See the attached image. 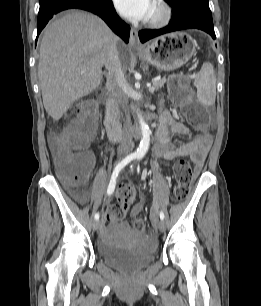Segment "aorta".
<instances>
[{
	"label": "aorta",
	"mask_w": 261,
	"mask_h": 306,
	"mask_svg": "<svg viewBox=\"0 0 261 306\" xmlns=\"http://www.w3.org/2000/svg\"><path fill=\"white\" fill-rule=\"evenodd\" d=\"M138 118H139V124H140V128H141V135H142V139L140 142V146L137 149L136 155L139 157H142L146 154L148 148H149V144H150V132H149V127L146 124V122L144 121V119L142 118V116L140 114H138Z\"/></svg>",
	"instance_id": "1"
}]
</instances>
